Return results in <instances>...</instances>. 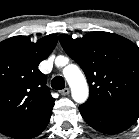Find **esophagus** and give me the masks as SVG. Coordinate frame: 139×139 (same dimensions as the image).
Segmentation results:
<instances>
[{
  "mask_svg": "<svg viewBox=\"0 0 139 139\" xmlns=\"http://www.w3.org/2000/svg\"><path fill=\"white\" fill-rule=\"evenodd\" d=\"M60 93L65 96V95H68L70 93V90H69V88H64L60 91Z\"/></svg>",
  "mask_w": 139,
  "mask_h": 139,
  "instance_id": "esophagus-1",
  "label": "esophagus"
}]
</instances>
